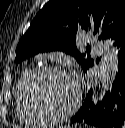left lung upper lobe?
Segmentation results:
<instances>
[{
    "label": "left lung upper lobe",
    "instance_id": "left-lung-upper-lobe-1",
    "mask_svg": "<svg viewBox=\"0 0 125 128\" xmlns=\"http://www.w3.org/2000/svg\"><path fill=\"white\" fill-rule=\"evenodd\" d=\"M125 25V0H50L36 14L16 49L19 63L40 52L63 51L75 57L84 71L94 61L76 48L81 31L112 38Z\"/></svg>",
    "mask_w": 125,
    "mask_h": 128
}]
</instances>
